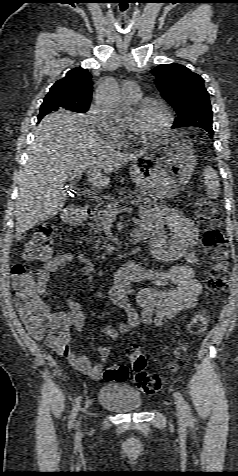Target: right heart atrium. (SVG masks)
<instances>
[{
  "label": "right heart atrium",
  "instance_id": "d8ad5b80",
  "mask_svg": "<svg viewBox=\"0 0 238 476\" xmlns=\"http://www.w3.org/2000/svg\"><path fill=\"white\" fill-rule=\"evenodd\" d=\"M91 124L108 140L119 141L125 135V129L113 123H110L102 111L92 104L87 111Z\"/></svg>",
  "mask_w": 238,
  "mask_h": 476
}]
</instances>
